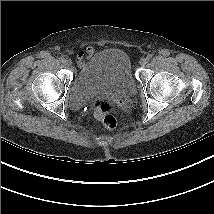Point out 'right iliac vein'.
Segmentation results:
<instances>
[{
	"label": "right iliac vein",
	"mask_w": 214,
	"mask_h": 214,
	"mask_svg": "<svg viewBox=\"0 0 214 214\" xmlns=\"http://www.w3.org/2000/svg\"><path fill=\"white\" fill-rule=\"evenodd\" d=\"M66 66H69L71 64V61L68 59H65V61L63 62Z\"/></svg>",
	"instance_id": "right-iliac-vein-1"
}]
</instances>
